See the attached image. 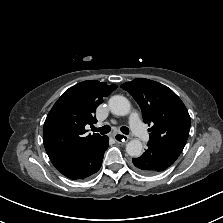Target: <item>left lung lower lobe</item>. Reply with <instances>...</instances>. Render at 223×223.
<instances>
[{"label":"left lung lower lobe","instance_id":"left-lung-lower-lobe-1","mask_svg":"<svg viewBox=\"0 0 223 223\" xmlns=\"http://www.w3.org/2000/svg\"><path fill=\"white\" fill-rule=\"evenodd\" d=\"M180 153L167 145L148 143L145 153L132 159L133 167L141 174L153 175L171 166Z\"/></svg>","mask_w":223,"mask_h":223}]
</instances>
